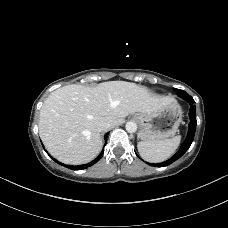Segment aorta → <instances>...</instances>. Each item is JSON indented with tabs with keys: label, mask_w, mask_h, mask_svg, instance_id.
Wrapping results in <instances>:
<instances>
[{
	"label": "aorta",
	"mask_w": 228,
	"mask_h": 228,
	"mask_svg": "<svg viewBox=\"0 0 228 228\" xmlns=\"http://www.w3.org/2000/svg\"><path fill=\"white\" fill-rule=\"evenodd\" d=\"M125 127H126V131L129 133H134L137 130V124L132 121L127 122Z\"/></svg>",
	"instance_id": "aorta-1"
}]
</instances>
